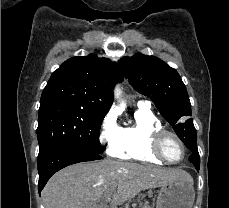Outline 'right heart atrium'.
Masks as SVG:
<instances>
[{
	"mask_svg": "<svg viewBox=\"0 0 229 208\" xmlns=\"http://www.w3.org/2000/svg\"><path fill=\"white\" fill-rule=\"evenodd\" d=\"M120 138V127L115 114L109 111L100 123L99 140L106 145L109 153H112Z\"/></svg>",
	"mask_w": 229,
	"mask_h": 208,
	"instance_id": "d8ad5b80",
	"label": "right heart atrium"
}]
</instances>
